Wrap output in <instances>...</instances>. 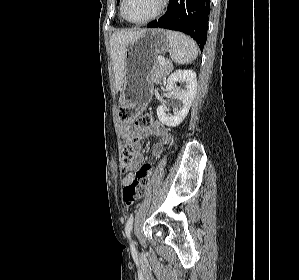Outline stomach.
Wrapping results in <instances>:
<instances>
[{"mask_svg": "<svg viewBox=\"0 0 299 280\" xmlns=\"http://www.w3.org/2000/svg\"><path fill=\"white\" fill-rule=\"evenodd\" d=\"M170 48L163 29L144 30L126 48L124 82L121 87L120 105L124 110L123 121H129L142 113L152 94L150 75L157 56Z\"/></svg>", "mask_w": 299, "mask_h": 280, "instance_id": "1", "label": "stomach"}]
</instances>
